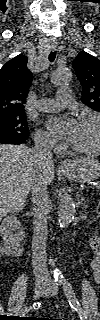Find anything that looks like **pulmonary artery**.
Instances as JSON below:
<instances>
[{
  "label": "pulmonary artery",
  "instance_id": "e3ab8cb5",
  "mask_svg": "<svg viewBox=\"0 0 100 320\" xmlns=\"http://www.w3.org/2000/svg\"><path fill=\"white\" fill-rule=\"evenodd\" d=\"M59 99H42L37 103L40 111H54L60 109L64 104L73 102L71 91L69 88H61L58 92Z\"/></svg>",
  "mask_w": 100,
  "mask_h": 320
}]
</instances>
